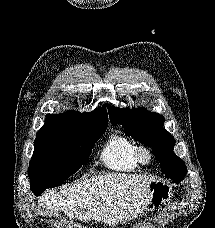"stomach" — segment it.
<instances>
[{
  "label": "stomach",
  "instance_id": "0dacf381",
  "mask_svg": "<svg viewBox=\"0 0 215 228\" xmlns=\"http://www.w3.org/2000/svg\"><path fill=\"white\" fill-rule=\"evenodd\" d=\"M172 198V190L165 182H151L150 184V210L151 212H159L163 206H167Z\"/></svg>",
  "mask_w": 215,
  "mask_h": 228
}]
</instances>
